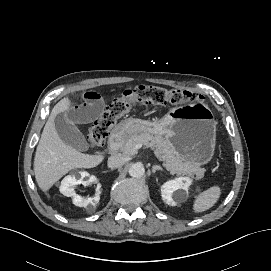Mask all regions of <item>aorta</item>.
Listing matches in <instances>:
<instances>
[{"instance_id": "aorta-1", "label": "aorta", "mask_w": 271, "mask_h": 271, "mask_svg": "<svg viewBox=\"0 0 271 271\" xmlns=\"http://www.w3.org/2000/svg\"><path fill=\"white\" fill-rule=\"evenodd\" d=\"M128 172L133 178H141L145 173V169L142 163H133L130 165Z\"/></svg>"}]
</instances>
